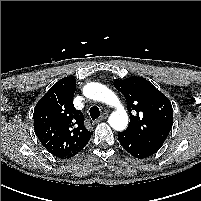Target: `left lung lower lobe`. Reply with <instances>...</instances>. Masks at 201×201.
<instances>
[{
	"mask_svg": "<svg viewBox=\"0 0 201 201\" xmlns=\"http://www.w3.org/2000/svg\"><path fill=\"white\" fill-rule=\"evenodd\" d=\"M118 138L124 149L135 158H147L157 151L127 131L119 132Z\"/></svg>",
	"mask_w": 201,
	"mask_h": 201,
	"instance_id": "obj_1",
	"label": "left lung lower lobe"
}]
</instances>
